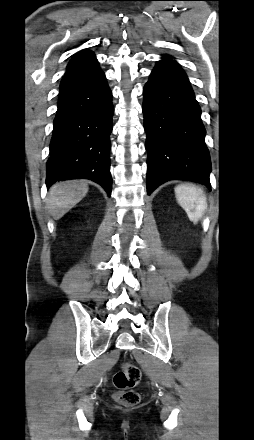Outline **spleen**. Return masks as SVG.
<instances>
[{"instance_id":"obj_1","label":"spleen","mask_w":254,"mask_h":440,"mask_svg":"<svg viewBox=\"0 0 254 440\" xmlns=\"http://www.w3.org/2000/svg\"><path fill=\"white\" fill-rule=\"evenodd\" d=\"M175 196L190 221L197 223L203 217L207 209V198L201 188L193 184H181L175 187Z\"/></svg>"}]
</instances>
